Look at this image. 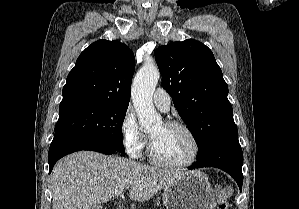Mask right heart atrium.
<instances>
[{
  "label": "right heart atrium",
  "mask_w": 299,
  "mask_h": 209,
  "mask_svg": "<svg viewBox=\"0 0 299 209\" xmlns=\"http://www.w3.org/2000/svg\"><path fill=\"white\" fill-rule=\"evenodd\" d=\"M120 130L127 153L133 158H140L146 147L147 138L142 132L133 112L127 111L124 114Z\"/></svg>",
  "instance_id": "obj_1"
}]
</instances>
